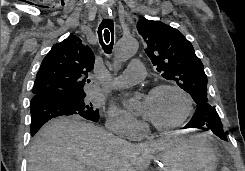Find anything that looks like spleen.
Returning <instances> with one entry per match:
<instances>
[{
  "label": "spleen",
  "instance_id": "3e777b00",
  "mask_svg": "<svg viewBox=\"0 0 245 171\" xmlns=\"http://www.w3.org/2000/svg\"><path fill=\"white\" fill-rule=\"evenodd\" d=\"M221 171H229V169L227 167H223Z\"/></svg>",
  "mask_w": 245,
  "mask_h": 171
}]
</instances>
